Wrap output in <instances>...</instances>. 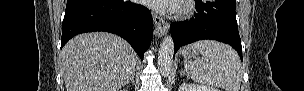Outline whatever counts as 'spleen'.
<instances>
[{
  "mask_svg": "<svg viewBox=\"0 0 304 91\" xmlns=\"http://www.w3.org/2000/svg\"><path fill=\"white\" fill-rule=\"evenodd\" d=\"M193 48L202 54L194 62L184 59L185 70L195 82L239 91L242 68L238 54L229 45L213 40L194 43Z\"/></svg>",
  "mask_w": 304,
  "mask_h": 91,
  "instance_id": "spleen-1",
  "label": "spleen"
}]
</instances>
